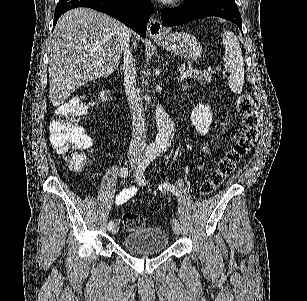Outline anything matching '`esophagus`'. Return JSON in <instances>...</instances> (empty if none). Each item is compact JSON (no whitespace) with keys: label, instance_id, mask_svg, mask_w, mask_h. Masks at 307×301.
<instances>
[{"label":"esophagus","instance_id":"34e87169","mask_svg":"<svg viewBox=\"0 0 307 301\" xmlns=\"http://www.w3.org/2000/svg\"><path fill=\"white\" fill-rule=\"evenodd\" d=\"M148 33L152 40H160L163 38V27L162 23L156 18H151L148 22Z\"/></svg>","mask_w":307,"mask_h":301}]
</instances>
